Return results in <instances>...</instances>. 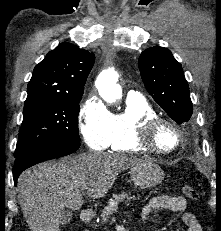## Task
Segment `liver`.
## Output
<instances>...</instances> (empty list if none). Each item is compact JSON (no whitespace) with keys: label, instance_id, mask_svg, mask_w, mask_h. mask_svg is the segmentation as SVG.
Wrapping results in <instances>:
<instances>
[{"label":"liver","instance_id":"6515ba94","mask_svg":"<svg viewBox=\"0 0 221 231\" xmlns=\"http://www.w3.org/2000/svg\"><path fill=\"white\" fill-rule=\"evenodd\" d=\"M142 160L122 154L84 153L59 162H46L24 171L17 183L18 202L32 231H60L65 208L80 210L81 188L102 198L117 175Z\"/></svg>","mask_w":221,"mask_h":231}]
</instances>
